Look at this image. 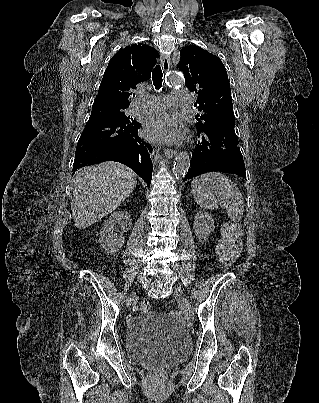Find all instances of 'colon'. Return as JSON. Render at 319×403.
Instances as JSON below:
<instances>
[{"label":"colon","instance_id":"1","mask_svg":"<svg viewBox=\"0 0 319 403\" xmlns=\"http://www.w3.org/2000/svg\"><path fill=\"white\" fill-rule=\"evenodd\" d=\"M241 247V230L235 224H226L223 228V238L217 244V253L222 264H231L239 256ZM139 308L142 313H148L151 310L147 300H141Z\"/></svg>","mask_w":319,"mask_h":403}]
</instances>
